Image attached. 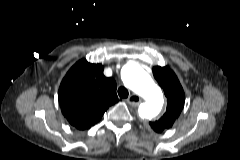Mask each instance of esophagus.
Returning a JSON list of instances; mask_svg holds the SVG:
<instances>
[{
	"label": "esophagus",
	"mask_w": 240,
	"mask_h": 160,
	"mask_svg": "<svg viewBox=\"0 0 240 160\" xmlns=\"http://www.w3.org/2000/svg\"><path fill=\"white\" fill-rule=\"evenodd\" d=\"M126 102L131 106H138L141 103V99L138 95L132 94L127 98Z\"/></svg>",
	"instance_id": "obj_1"
}]
</instances>
